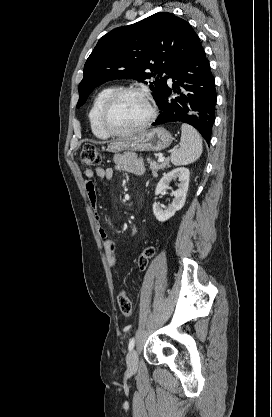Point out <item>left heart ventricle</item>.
Wrapping results in <instances>:
<instances>
[{
	"label": "left heart ventricle",
	"mask_w": 272,
	"mask_h": 417,
	"mask_svg": "<svg viewBox=\"0 0 272 417\" xmlns=\"http://www.w3.org/2000/svg\"><path fill=\"white\" fill-rule=\"evenodd\" d=\"M148 116L145 100L137 94H126L113 105L108 122L114 130L127 131L142 124Z\"/></svg>",
	"instance_id": "b2bd125f"
}]
</instances>
